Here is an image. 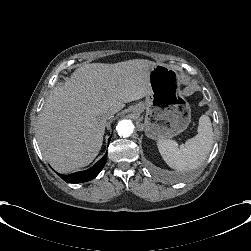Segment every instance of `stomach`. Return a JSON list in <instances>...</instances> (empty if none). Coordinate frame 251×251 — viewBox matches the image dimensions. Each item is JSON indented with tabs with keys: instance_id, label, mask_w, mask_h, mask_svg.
I'll return each instance as SVG.
<instances>
[{
	"instance_id": "0dacf381",
	"label": "stomach",
	"mask_w": 251,
	"mask_h": 251,
	"mask_svg": "<svg viewBox=\"0 0 251 251\" xmlns=\"http://www.w3.org/2000/svg\"><path fill=\"white\" fill-rule=\"evenodd\" d=\"M151 94L144 102L130 108L131 114L139 118L145 110L144 131L154 140H167L189 126L191 108L182 96L178 73L164 65H155L150 70Z\"/></svg>"
}]
</instances>
